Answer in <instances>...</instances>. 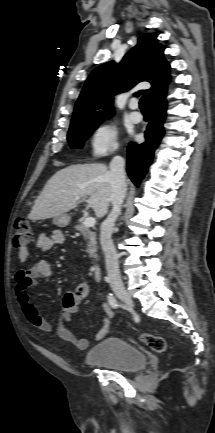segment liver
<instances>
[{"label": "liver", "mask_w": 215, "mask_h": 433, "mask_svg": "<svg viewBox=\"0 0 215 433\" xmlns=\"http://www.w3.org/2000/svg\"><path fill=\"white\" fill-rule=\"evenodd\" d=\"M109 172L102 163L76 164L59 170L47 181L28 218L33 221L54 218L74 209L76 197L86 196L96 216L103 217L112 203Z\"/></svg>", "instance_id": "6515ba94"}]
</instances>
